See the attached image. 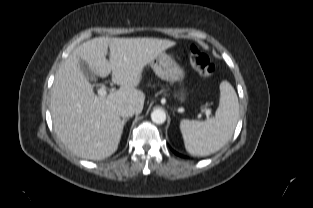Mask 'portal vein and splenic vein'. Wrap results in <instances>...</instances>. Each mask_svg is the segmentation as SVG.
I'll list each match as a JSON object with an SVG mask.
<instances>
[{"mask_svg":"<svg viewBox=\"0 0 313 208\" xmlns=\"http://www.w3.org/2000/svg\"><path fill=\"white\" fill-rule=\"evenodd\" d=\"M97 92L99 97H105L107 95V89L104 86L100 87Z\"/></svg>","mask_w":313,"mask_h":208,"instance_id":"1","label":"portal vein and splenic vein"}]
</instances>
